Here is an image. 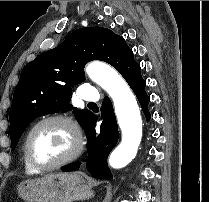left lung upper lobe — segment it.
Here are the masks:
<instances>
[{
  "mask_svg": "<svg viewBox=\"0 0 209 202\" xmlns=\"http://www.w3.org/2000/svg\"><path fill=\"white\" fill-rule=\"evenodd\" d=\"M92 60L109 63L123 77L137 65L122 36L96 26L75 30L23 68L9 113L12 150L35 118L73 109L72 87L85 81L84 66ZM73 114L85 130L95 116L87 109Z\"/></svg>",
  "mask_w": 209,
  "mask_h": 202,
  "instance_id": "left-lung-upper-lobe-1",
  "label": "left lung upper lobe"
}]
</instances>
